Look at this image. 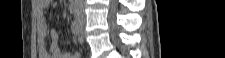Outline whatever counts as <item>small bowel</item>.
Returning <instances> with one entry per match:
<instances>
[{"label":"small bowel","instance_id":"1","mask_svg":"<svg viewBox=\"0 0 225 58\" xmlns=\"http://www.w3.org/2000/svg\"><path fill=\"white\" fill-rule=\"evenodd\" d=\"M50 0H36L37 7V33H38V50L42 58H80V52L72 53L64 52L58 43V34L56 31L48 30V24L44 15V10L49 6ZM49 35L50 51L47 55V50L44 46V39Z\"/></svg>","mask_w":225,"mask_h":58}]
</instances>
